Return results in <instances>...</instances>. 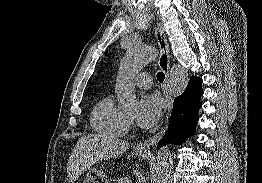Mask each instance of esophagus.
<instances>
[{"instance_id": "1", "label": "esophagus", "mask_w": 262, "mask_h": 183, "mask_svg": "<svg viewBox=\"0 0 262 183\" xmlns=\"http://www.w3.org/2000/svg\"><path fill=\"white\" fill-rule=\"evenodd\" d=\"M155 34H156V39H157L159 50H160L159 66L163 70V72L165 73L166 80H167L168 77H169V73H170V51H169V46H168V43H167V39H166V36H165L164 29H163L160 22H157ZM163 94H164V97L167 101V115H166V119H165V124L158 133H156L152 137L148 138L144 142L140 143L137 146L138 151L150 152L151 147L153 145H155L163 137V135L166 132V129H167V126H168V119H169V115H170V112H171V109H172V104H173V99H172V96L169 92L167 81L165 82Z\"/></svg>"}]
</instances>
